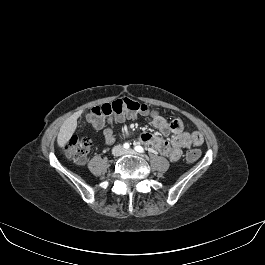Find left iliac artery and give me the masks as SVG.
<instances>
[{
	"label": "left iliac artery",
	"instance_id": "left-iliac-artery-1",
	"mask_svg": "<svg viewBox=\"0 0 265 265\" xmlns=\"http://www.w3.org/2000/svg\"><path fill=\"white\" fill-rule=\"evenodd\" d=\"M134 149H135L138 153H144V149H143V147H141L140 145L135 146Z\"/></svg>",
	"mask_w": 265,
	"mask_h": 265
}]
</instances>
